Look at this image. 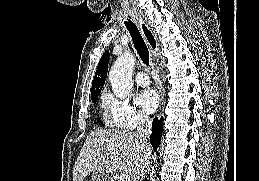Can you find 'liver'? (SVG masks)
I'll return each mask as SVG.
<instances>
[{
  "mask_svg": "<svg viewBox=\"0 0 259 181\" xmlns=\"http://www.w3.org/2000/svg\"><path fill=\"white\" fill-rule=\"evenodd\" d=\"M152 159V149L145 152L135 132L97 130L84 142L73 169V181H83L91 172L109 176L116 170L137 181Z\"/></svg>",
  "mask_w": 259,
  "mask_h": 181,
  "instance_id": "liver-1",
  "label": "liver"
}]
</instances>
